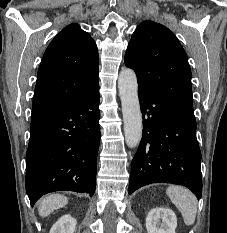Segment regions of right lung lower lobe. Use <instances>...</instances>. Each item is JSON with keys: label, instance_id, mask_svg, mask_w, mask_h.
Masks as SVG:
<instances>
[{"label": "right lung lower lobe", "instance_id": "1", "mask_svg": "<svg viewBox=\"0 0 227 233\" xmlns=\"http://www.w3.org/2000/svg\"><path fill=\"white\" fill-rule=\"evenodd\" d=\"M99 85L47 115L32 120L26 153L30 203L69 190L93 195L100 143Z\"/></svg>", "mask_w": 227, "mask_h": 233}]
</instances>
